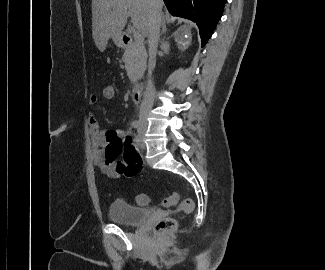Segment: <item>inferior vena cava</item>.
Wrapping results in <instances>:
<instances>
[{
  "label": "inferior vena cava",
  "instance_id": "obj_1",
  "mask_svg": "<svg viewBox=\"0 0 325 270\" xmlns=\"http://www.w3.org/2000/svg\"><path fill=\"white\" fill-rule=\"evenodd\" d=\"M151 6V17L149 22L148 44H149V63H148V82L144 99L140 106V120L146 122L150 114L155 98V87L152 80V72L156 65V52L160 38V26L162 19V0H149Z\"/></svg>",
  "mask_w": 325,
  "mask_h": 270
}]
</instances>
